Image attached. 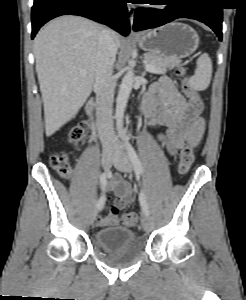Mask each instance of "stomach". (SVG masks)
<instances>
[{
    "label": "stomach",
    "mask_w": 246,
    "mask_h": 300,
    "mask_svg": "<svg viewBox=\"0 0 246 300\" xmlns=\"http://www.w3.org/2000/svg\"><path fill=\"white\" fill-rule=\"evenodd\" d=\"M137 42L144 51L156 54L170 63L178 64L181 59L197 50L199 36L189 25L171 22L141 34Z\"/></svg>",
    "instance_id": "0dacf381"
}]
</instances>
